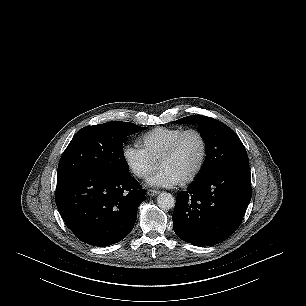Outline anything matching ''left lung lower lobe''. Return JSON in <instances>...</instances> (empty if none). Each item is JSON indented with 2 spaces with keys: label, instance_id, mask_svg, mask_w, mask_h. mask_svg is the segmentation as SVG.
<instances>
[{
  "label": "left lung lower lobe",
  "instance_id": "left-lung-lower-lobe-1",
  "mask_svg": "<svg viewBox=\"0 0 306 306\" xmlns=\"http://www.w3.org/2000/svg\"><path fill=\"white\" fill-rule=\"evenodd\" d=\"M251 199L249 166L219 169L196 178L176 199L173 229L185 242L212 246L239 227Z\"/></svg>",
  "mask_w": 306,
  "mask_h": 306
}]
</instances>
